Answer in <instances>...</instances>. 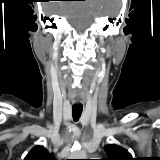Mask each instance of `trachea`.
<instances>
[{"label":"trachea","instance_id":"obj_1","mask_svg":"<svg viewBox=\"0 0 160 160\" xmlns=\"http://www.w3.org/2000/svg\"><path fill=\"white\" fill-rule=\"evenodd\" d=\"M83 111V106L82 105H74L72 107V115H73V119L75 121L79 120L81 114Z\"/></svg>","mask_w":160,"mask_h":160}]
</instances>
